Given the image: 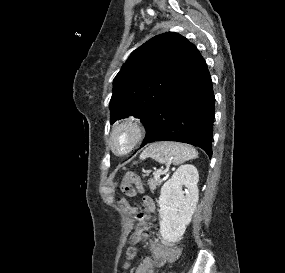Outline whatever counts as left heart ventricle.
Wrapping results in <instances>:
<instances>
[{
    "mask_svg": "<svg viewBox=\"0 0 285 273\" xmlns=\"http://www.w3.org/2000/svg\"><path fill=\"white\" fill-rule=\"evenodd\" d=\"M126 143H127V135L121 134L117 139V147L123 148L126 145Z\"/></svg>",
    "mask_w": 285,
    "mask_h": 273,
    "instance_id": "left-heart-ventricle-1",
    "label": "left heart ventricle"
}]
</instances>
